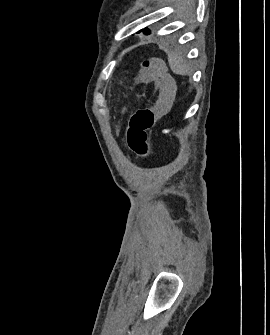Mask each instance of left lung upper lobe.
I'll return each mask as SVG.
<instances>
[{
    "instance_id": "1",
    "label": "left lung upper lobe",
    "mask_w": 270,
    "mask_h": 335,
    "mask_svg": "<svg viewBox=\"0 0 270 335\" xmlns=\"http://www.w3.org/2000/svg\"><path fill=\"white\" fill-rule=\"evenodd\" d=\"M141 31H143L145 34H150V30L147 29V28H145V29H143V30H141Z\"/></svg>"
}]
</instances>
